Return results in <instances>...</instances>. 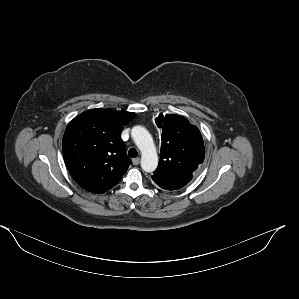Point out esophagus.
Listing matches in <instances>:
<instances>
[{"label":"esophagus","mask_w":299,"mask_h":299,"mask_svg":"<svg viewBox=\"0 0 299 299\" xmlns=\"http://www.w3.org/2000/svg\"><path fill=\"white\" fill-rule=\"evenodd\" d=\"M132 163H133V165H138V164L140 163V158H139V157L134 158V159L132 160Z\"/></svg>","instance_id":"esophagus-1"}]
</instances>
